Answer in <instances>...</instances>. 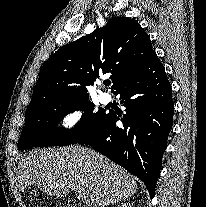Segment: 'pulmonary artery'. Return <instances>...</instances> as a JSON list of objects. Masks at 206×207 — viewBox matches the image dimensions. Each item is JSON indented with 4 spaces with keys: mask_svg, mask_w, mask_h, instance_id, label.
<instances>
[{
    "mask_svg": "<svg viewBox=\"0 0 206 207\" xmlns=\"http://www.w3.org/2000/svg\"><path fill=\"white\" fill-rule=\"evenodd\" d=\"M100 101L103 104H107L111 101V95L107 92H102L100 95Z\"/></svg>",
    "mask_w": 206,
    "mask_h": 207,
    "instance_id": "obj_1",
    "label": "pulmonary artery"
}]
</instances>
